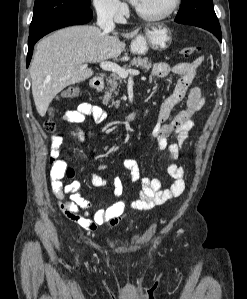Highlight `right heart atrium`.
Masks as SVG:
<instances>
[{"mask_svg": "<svg viewBox=\"0 0 247 299\" xmlns=\"http://www.w3.org/2000/svg\"><path fill=\"white\" fill-rule=\"evenodd\" d=\"M99 17L107 20L119 19L125 10L121 0H92Z\"/></svg>", "mask_w": 247, "mask_h": 299, "instance_id": "1", "label": "right heart atrium"}]
</instances>
